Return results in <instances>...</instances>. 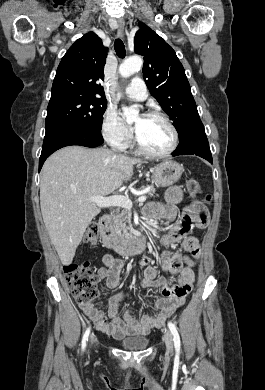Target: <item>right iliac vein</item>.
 I'll list each match as a JSON object with an SVG mask.
<instances>
[{
    "label": "right iliac vein",
    "mask_w": 265,
    "mask_h": 390,
    "mask_svg": "<svg viewBox=\"0 0 265 390\" xmlns=\"http://www.w3.org/2000/svg\"><path fill=\"white\" fill-rule=\"evenodd\" d=\"M94 341H95V336H94V335H92V336H91V340H90L91 344H93V343H94Z\"/></svg>",
    "instance_id": "1"
}]
</instances>
